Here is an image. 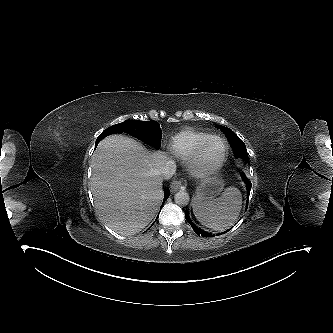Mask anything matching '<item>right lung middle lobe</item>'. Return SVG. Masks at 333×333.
I'll list each match as a JSON object with an SVG mask.
<instances>
[{
  "label": "right lung middle lobe",
  "instance_id": "right-lung-middle-lobe-1",
  "mask_svg": "<svg viewBox=\"0 0 333 333\" xmlns=\"http://www.w3.org/2000/svg\"><path fill=\"white\" fill-rule=\"evenodd\" d=\"M105 131L110 134L122 132L130 134L156 149L161 146L162 131L157 121L126 120L107 128Z\"/></svg>",
  "mask_w": 333,
  "mask_h": 333
}]
</instances>
